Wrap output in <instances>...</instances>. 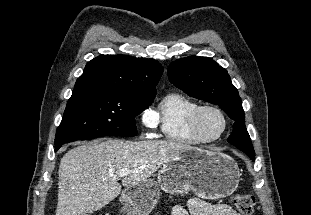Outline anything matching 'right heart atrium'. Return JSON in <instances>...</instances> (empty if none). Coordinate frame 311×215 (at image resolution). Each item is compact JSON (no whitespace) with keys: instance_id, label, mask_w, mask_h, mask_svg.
Listing matches in <instances>:
<instances>
[{"instance_id":"d8ad5b80","label":"right heart atrium","mask_w":311,"mask_h":215,"mask_svg":"<svg viewBox=\"0 0 311 215\" xmlns=\"http://www.w3.org/2000/svg\"><path fill=\"white\" fill-rule=\"evenodd\" d=\"M140 120L146 129H153L157 124L156 118L150 110L143 111L140 115ZM147 134L150 135L151 133L147 132Z\"/></svg>"}]
</instances>
